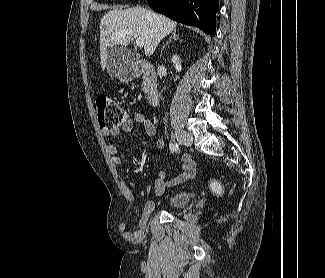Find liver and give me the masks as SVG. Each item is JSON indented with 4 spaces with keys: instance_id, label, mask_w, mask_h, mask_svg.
<instances>
[{
    "instance_id": "liver-1",
    "label": "liver",
    "mask_w": 325,
    "mask_h": 278,
    "mask_svg": "<svg viewBox=\"0 0 325 278\" xmlns=\"http://www.w3.org/2000/svg\"><path fill=\"white\" fill-rule=\"evenodd\" d=\"M177 23L168 17L144 7L113 9L100 21V59L102 70L106 67L107 47L110 43L127 46L137 38L144 40V52L151 56L159 42L173 30Z\"/></svg>"
}]
</instances>
